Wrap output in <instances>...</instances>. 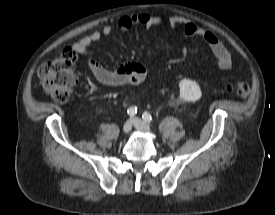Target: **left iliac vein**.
I'll list each match as a JSON object with an SVG mask.
<instances>
[{
  "instance_id": "obj_1",
  "label": "left iliac vein",
  "mask_w": 275,
  "mask_h": 215,
  "mask_svg": "<svg viewBox=\"0 0 275 215\" xmlns=\"http://www.w3.org/2000/svg\"><path fill=\"white\" fill-rule=\"evenodd\" d=\"M133 125L136 129L140 130V131H145L150 133V127L147 123H145L144 121H142L139 118H134L133 119Z\"/></svg>"
}]
</instances>
